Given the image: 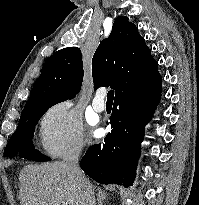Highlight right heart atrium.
Segmentation results:
<instances>
[{"label":"right heart atrium","mask_w":199,"mask_h":205,"mask_svg":"<svg viewBox=\"0 0 199 205\" xmlns=\"http://www.w3.org/2000/svg\"><path fill=\"white\" fill-rule=\"evenodd\" d=\"M40 143L52 157L79 154L84 147V128L80 114L68 100L51 105L39 124Z\"/></svg>","instance_id":"d8ad5b80"}]
</instances>
